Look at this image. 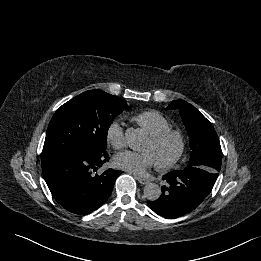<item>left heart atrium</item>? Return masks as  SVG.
<instances>
[{"label": "left heart atrium", "instance_id": "39dd6f15", "mask_svg": "<svg viewBox=\"0 0 261 261\" xmlns=\"http://www.w3.org/2000/svg\"><path fill=\"white\" fill-rule=\"evenodd\" d=\"M157 160L151 151H124L116 155L115 164L118 168L143 175L148 169L157 165Z\"/></svg>", "mask_w": 261, "mask_h": 261}]
</instances>
